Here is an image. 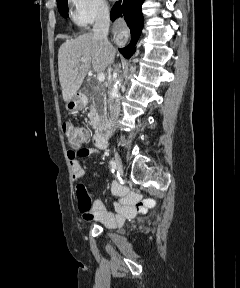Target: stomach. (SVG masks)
<instances>
[{"instance_id": "1", "label": "stomach", "mask_w": 240, "mask_h": 288, "mask_svg": "<svg viewBox=\"0 0 240 288\" xmlns=\"http://www.w3.org/2000/svg\"><path fill=\"white\" fill-rule=\"evenodd\" d=\"M83 106L80 98L75 95L66 103V109L70 112L76 111Z\"/></svg>"}]
</instances>
